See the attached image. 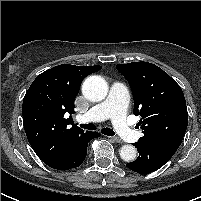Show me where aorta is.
<instances>
[{
  "label": "aorta",
  "instance_id": "aorta-1",
  "mask_svg": "<svg viewBox=\"0 0 201 201\" xmlns=\"http://www.w3.org/2000/svg\"><path fill=\"white\" fill-rule=\"evenodd\" d=\"M82 93L86 99L99 102L105 99L108 93V85L101 76H90L83 82ZM137 156V150L133 145H123L120 149V157L126 162L133 161Z\"/></svg>",
  "mask_w": 201,
  "mask_h": 201
}]
</instances>
